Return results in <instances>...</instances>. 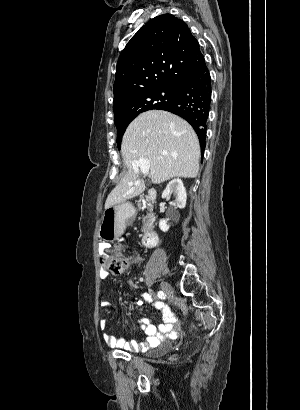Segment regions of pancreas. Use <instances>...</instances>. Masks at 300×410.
<instances>
[{
    "mask_svg": "<svg viewBox=\"0 0 300 410\" xmlns=\"http://www.w3.org/2000/svg\"><path fill=\"white\" fill-rule=\"evenodd\" d=\"M148 220H149V216H146V217L143 219L142 232H146V231L149 229L148 225L146 224V222H147Z\"/></svg>",
    "mask_w": 300,
    "mask_h": 410,
    "instance_id": "pancreas-1",
    "label": "pancreas"
}]
</instances>
